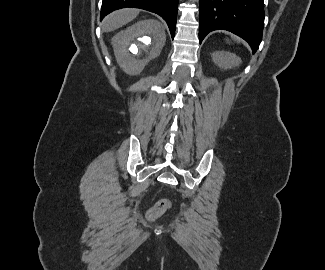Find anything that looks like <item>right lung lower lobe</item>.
<instances>
[{
    "mask_svg": "<svg viewBox=\"0 0 325 270\" xmlns=\"http://www.w3.org/2000/svg\"><path fill=\"white\" fill-rule=\"evenodd\" d=\"M179 0H103L101 20L110 12L124 8L135 7L160 15L167 23L172 38L175 35L177 9Z\"/></svg>",
    "mask_w": 325,
    "mask_h": 270,
    "instance_id": "obj_1",
    "label": "right lung lower lobe"
}]
</instances>
